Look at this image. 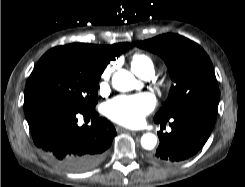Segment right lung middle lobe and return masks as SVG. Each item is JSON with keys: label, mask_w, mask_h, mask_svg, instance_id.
I'll list each match as a JSON object with an SVG mask.
<instances>
[{"label": "right lung middle lobe", "mask_w": 245, "mask_h": 187, "mask_svg": "<svg viewBox=\"0 0 245 187\" xmlns=\"http://www.w3.org/2000/svg\"><path fill=\"white\" fill-rule=\"evenodd\" d=\"M113 55L83 43L46 52L26 83L25 114L52 105L95 110L98 82Z\"/></svg>", "instance_id": "dd1d6c3e"}]
</instances>
